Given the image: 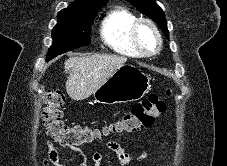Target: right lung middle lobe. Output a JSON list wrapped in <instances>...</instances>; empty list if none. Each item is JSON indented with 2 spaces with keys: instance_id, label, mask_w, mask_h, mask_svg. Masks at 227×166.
<instances>
[{
  "instance_id": "obj_1",
  "label": "right lung middle lobe",
  "mask_w": 227,
  "mask_h": 166,
  "mask_svg": "<svg viewBox=\"0 0 227 166\" xmlns=\"http://www.w3.org/2000/svg\"><path fill=\"white\" fill-rule=\"evenodd\" d=\"M92 8L79 13L58 14V22L52 30L53 44L47 53V60L90 44V31L98 9Z\"/></svg>"
}]
</instances>
